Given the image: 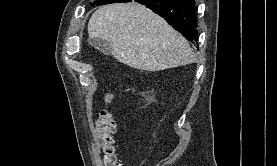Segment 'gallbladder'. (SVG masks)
I'll use <instances>...</instances> for the list:
<instances>
[{
    "instance_id": "1",
    "label": "gallbladder",
    "mask_w": 277,
    "mask_h": 166,
    "mask_svg": "<svg viewBox=\"0 0 277 166\" xmlns=\"http://www.w3.org/2000/svg\"><path fill=\"white\" fill-rule=\"evenodd\" d=\"M89 44L99 51H101L105 55H110L111 54V45L108 41L102 40L99 38H90L89 39Z\"/></svg>"
}]
</instances>
